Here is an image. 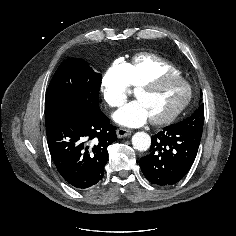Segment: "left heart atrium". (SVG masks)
<instances>
[{
    "mask_svg": "<svg viewBox=\"0 0 236 236\" xmlns=\"http://www.w3.org/2000/svg\"><path fill=\"white\" fill-rule=\"evenodd\" d=\"M113 117L117 123L128 127L141 126L150 118L145 105L139 99L124 105Z\"/></svg>",
    "mask_w": 236,
    "mask_h": 236,
    "instance_id": "1",
    "label": "left heart atrium"
}]
</instances>
